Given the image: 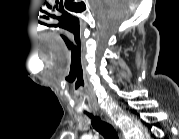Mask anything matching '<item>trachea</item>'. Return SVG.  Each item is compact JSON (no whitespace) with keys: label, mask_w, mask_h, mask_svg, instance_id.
<instances>
[{"label":"trachea","mask_w":179,"mask_h":139,"mask_svg":"<svg viewBox=\"0 0 179 139\" xmlns=\"http://www.w3.org/2000/svg\"><path fill=\"white\" fill-rule=\"evenodd\" d=\"M86 115L91 118L93 128L105 139H118L115 129L110 124L102 121L99 117H94L90 113H86Z\"/></svg>","instance_id":"3493384b"}]
</instances>
